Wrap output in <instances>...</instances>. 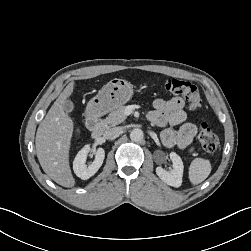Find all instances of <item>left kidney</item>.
<instances>
[{"mask_svg":"<svg viewBox=\"0 0 251 251\" xmlns=\"http://www.w3.org/2000/svg\"><path fill=\"white\" fill-rule=\"evenodd\" d=\"M170 159L173 163V169L168 172L162 167L156 168V174L166 184L173 187H180L182 184L184 165L182 159L175 152L170 153Z\"/></svg>","mask_w":251,"mask_h":251,"instance_id":"left-kidney-1","label":"left kidney"}]
</instances>
